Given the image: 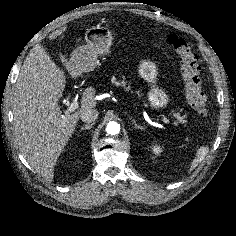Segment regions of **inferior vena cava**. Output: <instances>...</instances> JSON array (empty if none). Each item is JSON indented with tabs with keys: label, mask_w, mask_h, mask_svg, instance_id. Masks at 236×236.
Masks as SVG:
<instances>
[{
	"label": "inferior vena cava",
	"mask_w": 236,
	"mask_h": 236,
	"mask_svg": "<svg viewBox=\"0 0 236 236\" xmlns=\"http://www.w3.org/2000/svg\"><path fill=\"white\" fill-rule=\"evenodd\" d=\"M98 111L94 108L83 110L80 114V118L83 122L91 123L98 118Z\"/></svg>",
	"instance_id": "1"
}]
</instances>
